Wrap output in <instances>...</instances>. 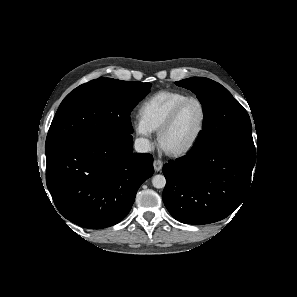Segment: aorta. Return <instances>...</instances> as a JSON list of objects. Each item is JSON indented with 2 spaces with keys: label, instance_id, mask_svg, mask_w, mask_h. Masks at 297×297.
<instances>
[{
  "label": "aorta",
  "instance_id": "762f6f07",
  "mask_svg": "<svg viewBox=\"0 0 297 297\" xmlns=\"http://www.w3.org/2000/svg\"><path fill=\"white\" fill-rule=\"evenodd\" d=\"M152 184L157 189H163L166 185V179L164 175L157 174L152 178Z\"/></svg>",
  "mask_w": 297,
  "mask_h": 297
}]
</instances>
